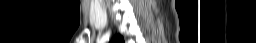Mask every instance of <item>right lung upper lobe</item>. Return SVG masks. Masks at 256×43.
<instances>
[{
  "label": "right lung upper lobe",
  "instance_id": "1",
  "mask_svg": "<svg viewBox=\"0 0 256 43\" xmlns=\"http://www.w3.org/2000/svg\"><path fill=\"white\" fill-rule=\"evenodd\" d=\"M111 42H112V43H124V39H123V37H121L120 35H118V36L114 37Z\"/></svg>",
  "mask_w": 256,
  "mask_h": 43
}]
</instances>
